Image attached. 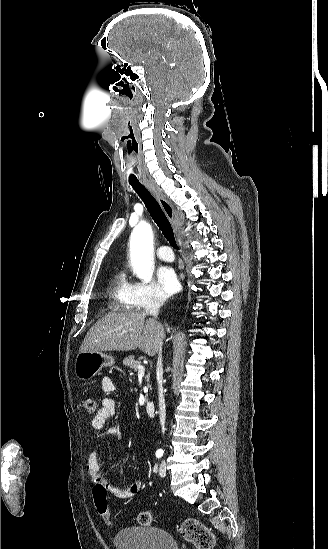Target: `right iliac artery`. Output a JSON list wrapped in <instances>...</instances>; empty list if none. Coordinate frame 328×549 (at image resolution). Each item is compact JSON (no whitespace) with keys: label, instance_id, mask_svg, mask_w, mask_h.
Returning a JSON list of instances; mask_svg holds the SVG:
<instances>
[{"label":"right iliac artery","instance_id":"82829eb1","mask_svg":"<svg viewBox=\"0 0 328 549\" xmlns=\"http://www.w3.org/2000/svg\"><path fill=\"white\" fill-rule=\"evenodd\" d=\"M162 455H163L162 453H159V452L156 453L157 458H160Z\"/></svg>","mask_w":328,"mask_h":549}]
</instances>
